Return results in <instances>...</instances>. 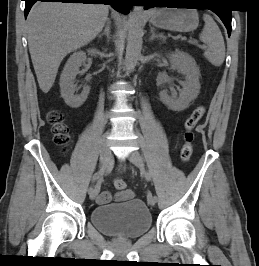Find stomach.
Masks as SVG:
<instances>
[{
  "label": "stomach",
  "instance_id": "stomach-1",
  "mask_svg": "<svg viewBox=\"0 0 259 266\" xmlns=\"http://www.w3.org/2000/svg\"><path fill=\"white\" fill-rule=\"evenodd\" d=\"M150 22L157 27L176 32H190L199 24L196 10L187 8L154 9L150 13Z\"/></svg>",
  "mask_w": 259,
  "mask_h": 266
}]
</instances>
